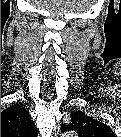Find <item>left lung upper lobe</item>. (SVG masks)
<instances>
[{"label":"left lung upper lobe","mask_w":121,"mask_h":137,"mask_svg":"<svg viewBox=\"0 0 121 137\" xmlns=\"http://www.w3.org/2000/svg\"><path fill=\"white\" fill-rule=\"evenodd\" d=\"M71 118L70 125L61 127L62 132L66 130H74L79 134H87L97 137H110L114 135L110 127L99 120L88 116L84 112H74Z\"/></svg>","instance_id":"1"}]
</instances>
